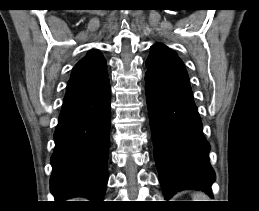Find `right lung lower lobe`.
I'll list each match as a JSON object with an SVG mask.
<instances>
[{
	"label": "right lung lower lobe",
	"instance_id": "98d812e1",
	"mask_svg": "<svg viewBox=\"0 0 259 211\" xmlns=\"http://www.w3.org/2000/svg\"><path fill=\"white\" fill-rule=\"evenodd\" d=\"M111 89L63 103L54 133L50 189L57 202L72 197L101 201L107 185Z\"/></svg>",
	"mask_w": 259,
	"mask_h": 211
}]
</instances>
